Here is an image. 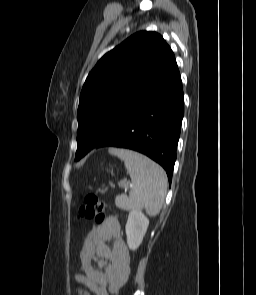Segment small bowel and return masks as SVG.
<instances>
[{"mask_svg":"<svg viewBox=\"0 0 256 295\" xmlns=\"http://www.w3.org/2000/svg\"><path fill=\"white\" fill-rule=\"evenodd\" d=\"M110 240L112 246L107 244ZM79 259L81 272L75 281L86 288L84 295H109L120 290L130 273V256L117 217L109 216L85 234Z\"/></svg>","mask_w":256,"mask_h":295,"instance_id":"c3829d8e","label":"small bowel"}]
</instances>
